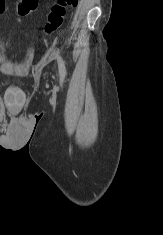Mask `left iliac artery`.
I'll list each match as a JSON object with an SVG mask.
<instances>
[{"mask_svg":"<svg viewBox=\"0 0 163 235\" xmlns=\"http://www.w3.org/2000/svg\"><path fill=\"white\" fill-rule=\"evenodd\" d=\"M57 61H58L60 76L61 78H64L66 75V68H65L64 61L60 55H57Z\"/></svg>","mask_w":163,"mask_h":235,"instance_id":"1","label":"left iliac artery"}]
</instances>
